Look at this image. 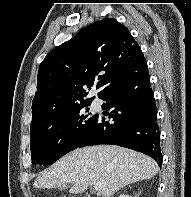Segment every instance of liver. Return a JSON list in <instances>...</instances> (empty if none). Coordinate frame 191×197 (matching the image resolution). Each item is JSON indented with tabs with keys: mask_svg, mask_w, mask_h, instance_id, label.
Here are the masks:
<instances>
[{
	"mask_svg": "<svg viewBox=\"0 0 191 197\" xmlns=\"http://www.w3.org/2000/svg\"><path fill=\"white\" fill-rule=\"evenodd\" d=\"M159 171L149 156L113 145H97L71 151L34 181V188H66L69 192L83 193L89 186L102 184L103 197H110L119 189L150 179Z\"/></svg>",
	"mask_w": 191,
	"mask_h": 197,
	"instance_id": "1",
	"label": "liver"
}]
</instances>
